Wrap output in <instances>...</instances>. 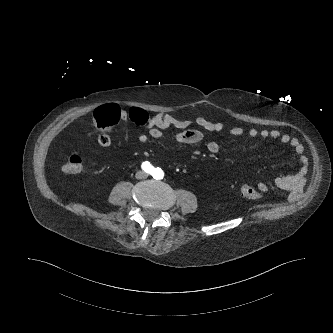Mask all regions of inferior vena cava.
<instances>
[{
    "mask_svg": "<svg viewBox=\"0 0 333 333\" xmlns=\"http://www.w3.org/2000/svg\"><path fill=\"white\" fill-rule=\"evenodd\" d=\"M146 177H147V174L143 171H139V172L136 173V178L137 179H144Z\"/></svg>",
    "mask_w": 333,
    "mask_h": 333,
    "instance_id": "1",
    "label": "inferior vena cava"
}]
</instances>
